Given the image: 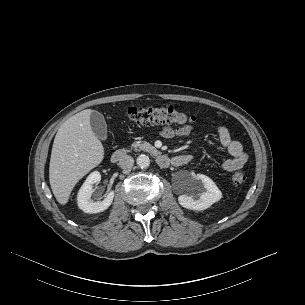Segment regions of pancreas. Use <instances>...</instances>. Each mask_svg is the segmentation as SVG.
<instances>
[{
    "instance_id": "cf45deb5",
    "label": "pancreas",
    "mask_w": 305,
    "mask_h": 305,
    "mask_svg": "<svg viewBox=\"0 0 305 305\" xmlns=\"http://www.w3.org/2000/svg\"><path fill=\"white\" fill-rule=\"evenodd\" d=\"M131 148H133L135 151L143 150V151H154L155 148L148 142L144 141H136L132 143ZM130 151V150H127Z\"/></svg>"
}]
</instances>
